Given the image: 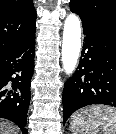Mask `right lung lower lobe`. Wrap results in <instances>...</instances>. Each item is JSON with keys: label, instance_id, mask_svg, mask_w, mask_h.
I'll return each instance as SVG.
<instances>
[{"label": "right lung lower lobe", "instance_id": "obj_1", "mask_svg": "<svg viewBox=\"0 0 116 134\" xmlns=\"http://www.w3.org/2000/svg\"><path fill=\"white\" fill-rule=\"evenodd\" d=\"M34 56L35 33L0 55V118L17 124L23 134H27Z\"/></svg>", "mask_w": 116, "mask_h": 134}]
</instances>
